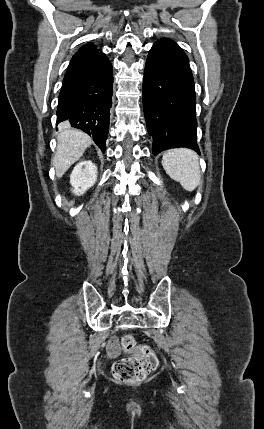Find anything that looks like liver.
<instances>
[{"label":"liver","instance_id":"liver-1","mask_svg":"<svg viewBox=\"0 0 264 429\" xmlns=\"http://www.w3.org/2000/svg\"><path fill=\"white\" fill-rule=\"evenodd\" d=\"M57 142L53 165L56 177L60 178L80 159L86 148L92 144V139L86 133L64 124L57 136Z\"/></svg>","mask_w":264,"mask_h":429}]
</instances>
